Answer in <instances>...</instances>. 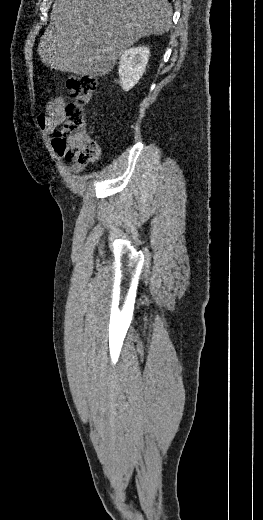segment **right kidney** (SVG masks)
I'll return each instance as SVG.
<instances>
[{
  "label": "right kidney",
  "mask_w": 263,
  "mask_h": 520,
  "mask_svg": "<svg viewBox=\"0 0 263 520\" xmlns=\"http://www.w3.org/2000/svg\"><path fill=\"white\" fill-rule=\"evenodd\" d=\"M149 55L148 47H133L121 55L118 73L124 91H129L138 83L145 72Z\"/></svg>",
  "instance_id": "1"
}]
</instances>
